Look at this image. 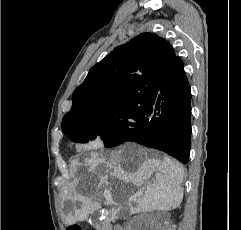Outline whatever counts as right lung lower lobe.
Here are the masks:
<instances>
[{
	"mask_svg": "<svg viewBox=\"0 0 241 230\" xmlns=\"http://www.w3.org/2000/svg\"><path fill=\"white\" fill-rule=\"evenodd\" d=\"M146 113L147 127L131 134L126 141L164 151L187 163L191 143V89L180 58L163 76L157 95L147 103Z\"/></svg>",
	"mask_w": 241,
	"mask_h": 230,
	"instance_id": "98d812e1",
	"label": "right lung lower lobe"
}]
</instances>
